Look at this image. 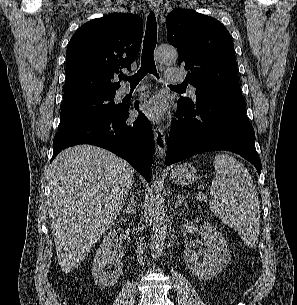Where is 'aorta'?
<instances>
[{
    "label": "aorta",
    "mask_w": 297,
    "mask_h": 305,
    "mask_svg": "<svg viewBox=\"0 0 297 305\" xmlns=\"http://www.w3.org/2000/svg\"><path fill=\"white\" fill-rule=\"evenodd\" d=\"M155 58L161 64H173L178 59V51L172 46H160L156 50ZM168 220L162 197L157 194L154 198L152 210L153 232L150 246L151 254L154 258L162 254L167 237Z\"/></svg>",
    "instance_id": "obj_1"
}]
</instances>
